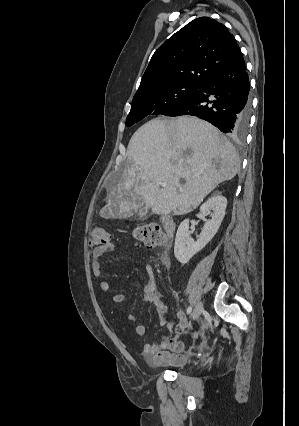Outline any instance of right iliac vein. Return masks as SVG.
Masks as SVG:
<instances>
[{"mask_svg":"<svg viewBox=\"0 0 299 426\" xmlns=\"http://www.w3.org/2000/svg\"><path fill=\"white\" fill-rule=\"evenodd\" d=\"M202 310H203V304L201 302L197 303V305L195 306V308H194V310L191 314L192 319L196 320L200 316Z\"/></svg>","mask_w":299,"mask_h":426,"instance_id":"obj_1","label":"right iliac vein"}]
</instances>
